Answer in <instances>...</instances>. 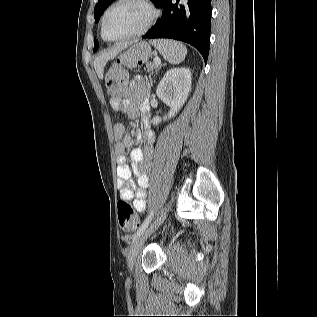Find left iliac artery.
I'll return each instance as SVG.
<instances>
[{"instance_id": "left-iliac-artery-1", "label": "left iliac artery", "mask_w": 317, "mask_h": 317, "mask_svg": "<svg viewBox=\"0 0 317 317\" xmlns=\"http://www.w3.org/2000/svg\"><path fill=\"white\" fill-rule=\"evenodd\" d=\"M153 216V212L144 220V222L142 223V225L140 226V228L137 230V232L133 235L132 240H136L142 233L143 231L146 229V227L149 225L151 219Z\"/></svg>"}]
</instances>
